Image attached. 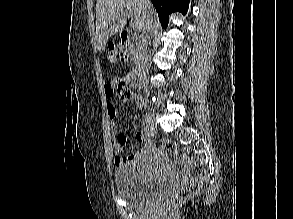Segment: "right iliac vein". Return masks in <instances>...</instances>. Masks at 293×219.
Here are the masks:
<instances>
[{"mask_svg":"<svg viewBox=\"0 0 293 219\" xmlns=\"http://www.w3.org/2000/svg\"><path fill=\"white\" fill-rule=\"evenodd\" d=\"M145 123H146V126L151 130L153 131L155 128H156V123H155V119L153 117V115L149 112H147L145 114Z\"/></svg>","mask_w":293,"mask_h":219,"instance_id":"obj_1","label":"right iliac vein"}]
</instances>
